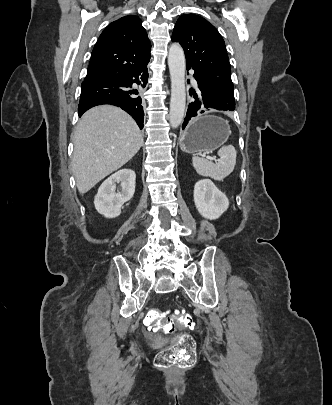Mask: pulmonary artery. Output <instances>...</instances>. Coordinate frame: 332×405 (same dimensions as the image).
I'll return each instance as SVG.
<instances>
[{
  "mask_svg": "<svg viewBox=\"0 0 332 405\" xmlns=\"http://www.w3.org/2000/svg\"><path fill=\"white\" fill-rule=\"evenodd\" d=\"M192 82L196 85V80L194 78H192Z\"/></svg>",
  "mask_w": 332,
  "mask_h": 405,
  "instance_id": "obj_1",
  "label": "pulmonary artery"
}]
</instances>
